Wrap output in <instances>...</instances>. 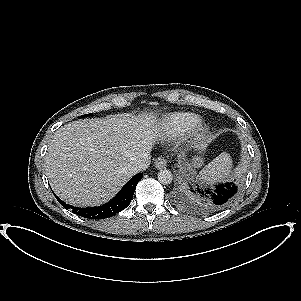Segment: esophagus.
Listing matches in <instances>:
<instances>
[{"label":"esophagus","mask_w":301,"mask_h":301,"mask_svg":"<svg viewBox=\"0 0 301 301\" xmlns=\"http://www.w3.org/2000/svg\"><path fill=\"white\" fill-rule=\"evenodd\" d=\"M154 166L157 169L165 168L167 166V159L164 157H158L154 162Z\"/></svg>","instance_id":"obj_1"}]
</instances>
